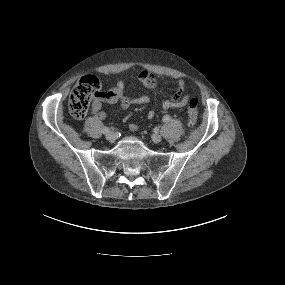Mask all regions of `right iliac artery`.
<instances>
[{"label":"right iliac artery","instance_id":"1","mask_svg":"<svg viewBox=\"0 0 285 285\" xmlns=\"http://www.w3.org/2000/svg\"><path fill=\"white\" fill-rule=\"evenodd\" d=\"M109 131H110V129H109L108 127H104V128H103V133H104V134L109 133Z\"/></svg>","mask_w":285,"mask_h":285}]
</instances>
